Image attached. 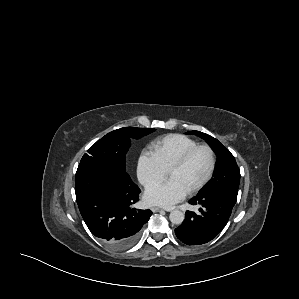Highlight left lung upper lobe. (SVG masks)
Segmentation results:
<instances>
[{"instance_id":"left-lung-upper-lobe-1","label":"left lung upper lobe","mask_w":299,"mask_h":299,"mask_svg":"<svg viewBox=\"0 0 299 299\" xmlns=\"http://www.w3.org/2000/svg\"><path fill=\"white\" fill-rule=\"evenodd\" d=\"M188 134H196L205 139L217 155L213 178L199 195L222 192L236 200L240 182V170L234 156L221 142L208 134L199 131H190Z\"/></svg>"}]
</instances>
